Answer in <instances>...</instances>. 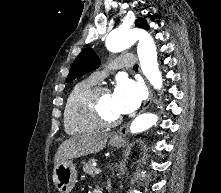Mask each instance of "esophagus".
I'll return each mask as SVG.
<instances>
[{
    "instance_id": "esophagus-1",
    "label": "esophagus",
    "mask_w": 221,
    "mask_h": 193,
    "mask_svg": "<svg viewBox=\"0 0 221 193\" xmlns=\"http://www.w3.org/2000/svg\"><path fill=\"white\" fill-rule=\"evenodd\" d=\"M148 89H149V97L148 99L144 102L143 104V107H142V110L141 111H145L149 106L150 104L152 103V100H153V92H152V89L150 88V86L148 85ZM128 124L121 127L116 134L113 135V139H119L121 137V135L123 133H125L127 130H128Z\"/></svg>"
}]
</instances>
